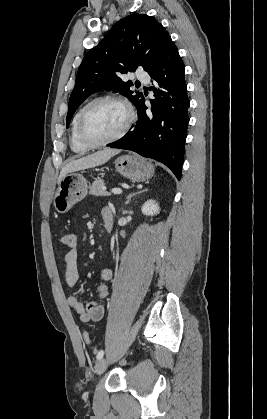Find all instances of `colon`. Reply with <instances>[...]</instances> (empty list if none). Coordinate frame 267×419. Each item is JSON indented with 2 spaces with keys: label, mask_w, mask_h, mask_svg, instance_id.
Returning <instances> with one entry per match:
<instances>
[{
  "label": "colon",
  "mask_w": 267,
  "mask_h": 419,
  "mask_svg": "<svg viewBox=\"0 0 267 419\" xmlns=\"http://www.w3.org/2000/svg\"><path fill=\"white\" fill-rule=\"evenodd\" d=\"M62 243L65 246L71 248V247H73V246L76 245V238H75V236L73 234L66 233L62 237ZM83 340L87 344L90 343V340H91L90 339V334L87 331L83 332Z\"/></svg>",
  "instance_id": "5ec220e1"
}]
</instances>
